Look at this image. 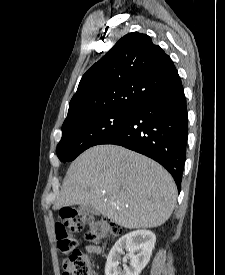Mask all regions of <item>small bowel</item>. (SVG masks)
I'll use <instances>...</instances> for the list:
<instances>
[{"label":"small bowel","mask_w":225,"mask_h":275,"mask_svg":"<svg viewBox=\"0 0 225 275\" xmlns=\"http://www.w3.org/2000/svg\"><path fill=\"white\" fill-rule=\"evenodd\" d=\"M85 251H86L87 253H93V254H97V255L103 254V249H102V247L96 246V245H87V246H85ZM90 275H98V273L95 272V271H92V272L90 273Z\"/></svg>","instance_id":"small-bowel-1"}]
</instances>
